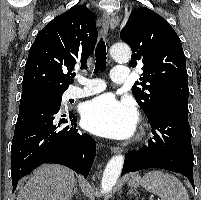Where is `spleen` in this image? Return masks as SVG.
I'll use <instances>...</instances> for the list:
<instances>
[{"label": "spleen", "instance_id": "1", "mask_svg": "<svg viewBox=\"0 0 201 200\" xmlns=\"http://www.w3.org/2000/svg\"><path fill=\"white\" fill-rule=\"evenodd\" d=\"M142 185L149 192L158 195L161 200H189L187 190L181 181L174 175L160 170L146 173Z\"/></svg>", "mask_w": 201, "mask_h": 200}]
</instances>
